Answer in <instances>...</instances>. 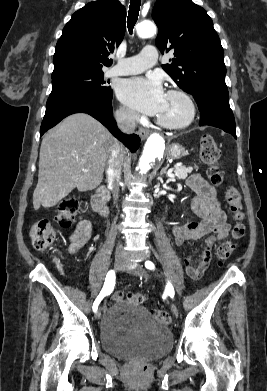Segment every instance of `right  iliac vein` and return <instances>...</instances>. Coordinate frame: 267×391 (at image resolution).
Masks as SVG:
<instances>
[{
	"label": "right iliac vein",
	"mask_w": 267,
	"mask_h": 391,
	"mask_svg": "<svg viewBox=\"0 0 267 391\" xmlns=\"http://www.w3.org/2000/svg\"><path fill=\"white\" fill-rule=\"evenodd\" d=\"M126 265V258L123 255H117L115 258L114 269L116 271L122 270ZM101 316V308H98L95 313V318L99 319Z\"/></svg>",
	"instance_id": "63e3f726"
}]
</instances>
